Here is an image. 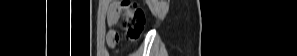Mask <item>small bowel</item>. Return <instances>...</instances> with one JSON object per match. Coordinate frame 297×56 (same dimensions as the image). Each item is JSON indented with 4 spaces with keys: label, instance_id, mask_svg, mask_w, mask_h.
<instances>
[{
    "label": "small bowel",
    "instance_id": "small-bowel-1",
    "mask_svg": "<svg viewBox=\"0 0 297 56\" xmlns=\"http://www.w3.org/2000/svg\"><path fill=\"white\" fill-rule=\"evenodd\" d=\"M118 19L117 5L112 4L107 13V23L111 29L106 34V43L110 48H114L119 40L118 33L113 29V27L116 26Z\"/></svg>",
    "mask_w": 297,
    "mask_h": 56
}]
</instances>
